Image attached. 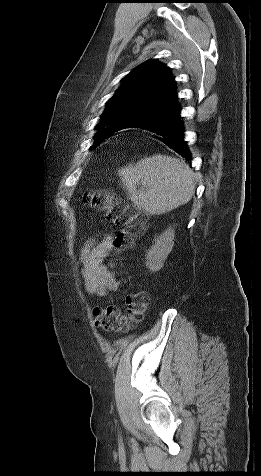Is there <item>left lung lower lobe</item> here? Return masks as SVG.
<instances>
[{"instance_id":"obj_1","label":"left lung lower lobe","mask_w":261,"mask_h":476,"mask_svg":"<svg viewBox=\"0 0 261 476\" xmlns=\"http://www.w3.org/2000/svg\"><path fill=\"white\" fill-rule=\"evenodd\" d=\"M129 127H139L156 133V138L168 148L174 150L186 160H191V154L184 141L181 109L178 104L159 116L147 117L143 120L111 129L105 133L103 139L111 136L115 131Z\"/></svg>"}]
</instances>
